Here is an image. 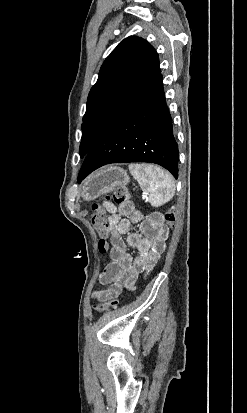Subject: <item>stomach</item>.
Instances as JSON below:
<instances>
[{"label":"stomach","mask_w":247,"mask_h":413,"mask_svg":"<svg viewBox=\"0 0 247 413\" xmlns=\"http://www.w3.org/2000/svg\"><path fill=\"white\" fill-rule=\"evenodd\" d=\"M128 182L130 180L127 170H124L121 166L108 164V166H102V168L92 172L85 178L83 184H81L80 196L82 200H95L101 194L112 192L119 186H126Z\"/></svg>","instance_id":"stomach-1"}]
</instances>
